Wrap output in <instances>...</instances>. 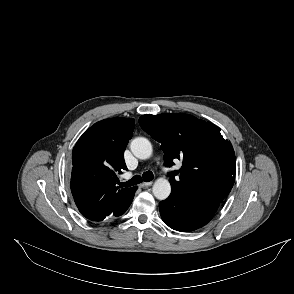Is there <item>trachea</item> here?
I'll return each instance as SVG.
<instances>
[{
  "label": "trachea",
  "mask_w": 294,
  "mask_h": 294,
  "mask_svg": "<svg viewBox=\"0 0 294 294\" xmlns=\"http://www.w3.org/2000/svg\"><path fill=\"white\" fill-rule=\"evenodd\" d=\"M153 173L151 171H146L142 174V177L140 175H135L127 182L120 183L121 187H130L136 184L141 183L143 180L145 182H150L153 179Z\"/></svg>",
  "instance_id": "trachea-1"
}]
</instances>
